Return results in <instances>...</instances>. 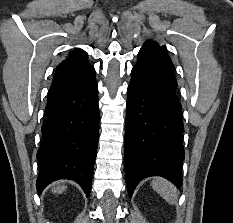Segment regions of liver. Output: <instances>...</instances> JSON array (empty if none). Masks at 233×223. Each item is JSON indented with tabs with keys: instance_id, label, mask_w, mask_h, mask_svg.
Here are the masks:
<instances>
[{
	"instance_id": "obj_1",
	"label": "liver",
	"mask_w": 233,
	"mask_h": 223,
	"mask_svg": "<svg viewBox=\"0 0 233 223\" xmlns=\"http://www.w3.org/2000/svg\"><path fill=\"white\" fill-rule=\"evenodd\" d=\"M65 189L66 185H57V187H54L52 191H54V193H62V191H65Z\"/></svg>"
}]
</instances>
